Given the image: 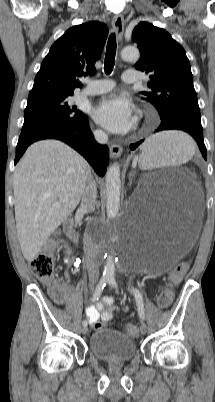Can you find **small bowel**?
<instances>
[{
    "label": "small bowel",
    "instance_id": "small-bowel-1",
    "mask_svg": "<svg viewBox=\"0 0 215 402\" xmlns=\"http://www.w3.org/2000/svg\"><path fill=\"white\" fill-rule=\"evenodd\" d=\"M66 262L70 263L71 261L66 260ZM63 289L65 292H70L71 290L69 285H64ZM115 309L116 307L113 306V298L110 296H105L95 305L88 306L85 312L88 321L95 325L97 322H99V320L108 322L112 318V314Z\"/></svg>",
    "mask_w": 215,
    "mask_h": 402
}]
</instances>
